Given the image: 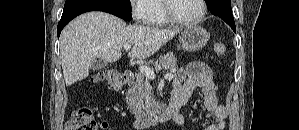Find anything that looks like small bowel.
Returning <instances> with one entry per match:
<instances>
[{
    "label": "small bowel",
    "instance_id": "1",
    "mask_svg": "<svg viewBox=\"0 0 299 130\" xmlns=\"http://www.w3.org/2000/svg\"><path fill=\"white\" fill-rule=\"evenodd\" d=\"M196 88L202 89L204 106L211 117V123L204 130H225L228 111L219 100L218 86L214 81L211 68L203 62H192L179 68L173 80V95L181 94L188 99ZM173 120L180 126L184 125V117L179 113ZM100 127L102 130H107L109 122L107 120L101 121Z\"/></svg>",
    "mask_w": 299,
    "mask_h": 130
}]
</instances>
